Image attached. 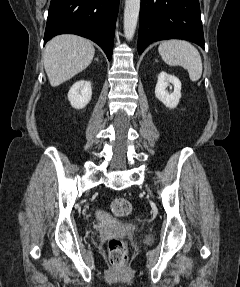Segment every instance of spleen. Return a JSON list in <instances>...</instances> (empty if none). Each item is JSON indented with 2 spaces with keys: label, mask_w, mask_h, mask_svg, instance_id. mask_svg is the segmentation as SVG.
I'll use <instances>...</instances> for the list:
<instances>
[{
  "label": "spleen",
  "mask_w": 240,
  "mask_h": 287,
  "mask_svg": "<svg viewBox=\"0 0 240 287\" xmlns=\"http://www.w3.org/2000/svg\"><path fill=\"white\" fill-rule=\"evenodd\" d=\"M163 61L170 66H182L195 82L202 75V60L198 50L189 42L178 39L163 41L158 47Z\"/></svg>",
  "instance_id": "spleen-1"
}]
</instances>
